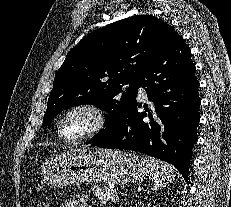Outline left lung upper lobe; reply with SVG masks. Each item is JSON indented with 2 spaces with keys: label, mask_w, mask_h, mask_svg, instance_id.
<instances>
[{
  "label": "left lung upper lobe",
  "mask_w": 231,
  "mask_h": 207,
  "mask_svg": "<svg viewBox=\"0 0 231 207\" xmlns=\"http://www.w3.org/2000/svg\"><path fill=\"white\" fill-rule=\"evenodd\" d=\"M178 38L171 25L152 15H135L91 33L68 52L56 72L42 127L64 109L94 104L108 115L106 128L92 140L114 132L136 102L146 65Z\"/></svg>",
  "instance_id": "1"
}]
</instances>
